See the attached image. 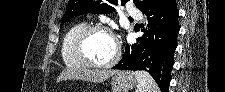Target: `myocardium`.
<instances>
[{
    "label": "myocardium",
    "instance_id": "f54148a6",
    "mask_svg": "<svg viewBox=\"0 0 225 92\" xmlns=\"http://www.w3.org/2000/svg\"><path fill=\"white\" fill-rule=\"evenodd\" d=\"M97 31H103V32L108 33L113 38L114 43H115L114 57L110 61L103 63V64H99V63L92 61L89 58V56L87 55V53L85 52L86 40L92 33L97 32ZM73 51H74V54H75L76 58L78 59L79 63L83 67L90 68V69L111 68L118 62V60L121 56V47H120L117 37L115 36L113 31L104 24H92V25H88L84 29H82L74 39Z\"/></svg>",
    "mask_w": 225,
    "mask_h": 92
}]
</instances>
